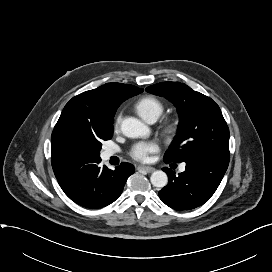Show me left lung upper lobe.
<instances>
[{"instance_id": "left-lung-upper-lobe-1", "label": "left lung upper lobe", "mask_w": 272, "mask_h": 272, "mask_svg": "<svg viewBox=\"0 0 272 272\" xmlns=\"http://www.w3.org/2000/svg\"><path fill=\"white\" fill-rule=\"evenodd\" d=\"M146 91L177 107L179 131L164 155L165 162H187L205 154H229V129L219 106L179 82H161Z\"/></svg>"}]
</instances>
